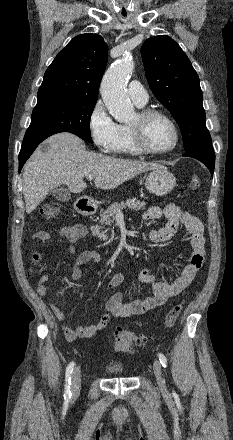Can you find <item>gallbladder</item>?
Here are the masks:
<instances>
[{
	"instance_id": "gallbladder-1",
	"label": "gallbladder",
	"mask_w": 233,
	"mask_h": 440,
	"mask_svg": "<svg viewBox=\"0 0 233 440\" xmlns=\"http://www.w3.org/2000/svg\"><path fill=\"white\" fill-rule=\"evenodd\" d=\"M51 193L53 197L62 202H66L71 199L70 192L63 188H54L51 190Z\"/></svg>"
}]
</instances>
